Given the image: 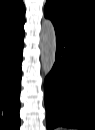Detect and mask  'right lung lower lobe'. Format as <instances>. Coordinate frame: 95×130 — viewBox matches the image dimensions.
I'll return each mask as SVG.
<instances>
[{
    "mask_svg": "<svg viewBox=\"0 0 95 130\" xmlns=\"http://www.w3.org/2000/svg\"><path fill=\"white\" fill-rule=\"evenodd\" d=\"M24 30L0 39V114L1 128H20V90Z\"/></svg>",
    "mask_w": 95,
    "mask_h": 130,
    "instance_id": "98d812e1",
    "label": "right lung lower lobe"
}]
</instances>
